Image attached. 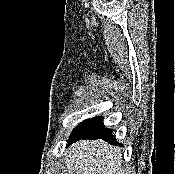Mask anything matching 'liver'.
<instances>
[{
    "label": "liver",
    "mask_w": 175,
    "mask_h": 174,
    "mask_svg": "<svg viewBox=\"0 0 175 174\" xmlns=\"http://www.w3.org/2000/svg\"><path fill=\"white\" fill-rule=\"evenodd\" d=\"M121 149L103 140L72 144L65 160L67 174H125Z\"/></svg>",
    "instance_id": "6515ba94"
}]
</instances>
